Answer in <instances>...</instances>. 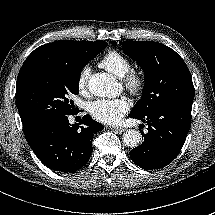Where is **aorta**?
<instances>
[{
    "label": "aorta",
    "mask_w": 215,
    "mask_h": 215,
    "mask_svg": "<svg viewBox=\"0 0 215 215\" xmlns=\"http://www.w3.org/2000/svg\"><path fill=\"white\" fill-rule=\"evenodd\" d=\"M113 78L107 73H96L88 81V90L91 94L104 97L112 90ZM142 135L135 129L127 130L123 134V143L131 148L139 146Z\"/></svg>",
    "instance_id": "1"
}]
</instances>
